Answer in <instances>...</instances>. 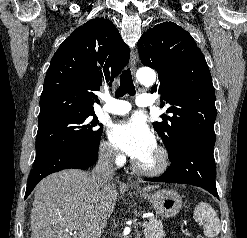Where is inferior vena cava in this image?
<instances>
[{"mask_svg": "<svg viewBox=\"0 0 247 238\" xmlns=\"http://www.w3.org/2000/svg\"><path fill=\"white\" fill-rule=\"evenodd\" d=\"M116 156L114 150L102 152L98 162L92 170V178L100 185H104L113 179L114 167L113 161Z\"/></svg>", "mask_w": 247, "mask_h": 238, "instance_id": "1", "label": "inferior vena cava"}]
</instances>
